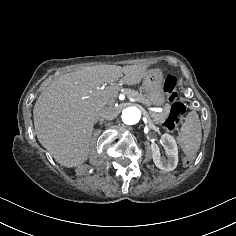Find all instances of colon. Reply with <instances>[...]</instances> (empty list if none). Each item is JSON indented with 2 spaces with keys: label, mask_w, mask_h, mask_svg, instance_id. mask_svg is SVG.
<instances>
[{
  "label": "colon",
  "mask_w": 236,
  "mask_h": 236,
  "mask_svg": "<svg viewBox=\"0 0 236 236\" xmlns=\"http://www.w3.org/2000/svg\"><path fill=\"white\" fill-rule=\"evenodd\" d=\"M177 79L172 74H167L164 79V93L171 103V108L168 117L164 123L167 129H174L185 114V105L178 101L176 92Z\"/></svg>",
  "instance_id": "1"
}]
</instances>
